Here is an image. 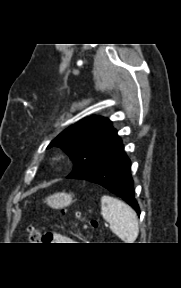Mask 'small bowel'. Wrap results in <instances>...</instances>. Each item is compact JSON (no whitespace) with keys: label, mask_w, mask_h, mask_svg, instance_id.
Segmentation results:
<instances>
[{"label":"small bowel","mask_w":181,"mask_h":288,"mask_svg":"<svg viewBox=\"0 0 181 288\" xmlns=\"http://www.w3.org/2000/svg\"><path fill=\"white\" fill-rule=\"evenodd\" d=\"M51 242L52 243H77L71 237L60 234V233H51Z\"/></svg>","instance_id":"obj_1"}]
</instances>
